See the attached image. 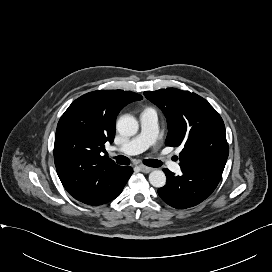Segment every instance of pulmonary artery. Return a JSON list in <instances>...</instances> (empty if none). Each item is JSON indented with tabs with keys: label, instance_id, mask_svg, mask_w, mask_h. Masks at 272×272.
I'll return each mask as SVG.
<instances>
[{
	"label": "pulmonary artery",
	"instance_id": "1",
	"mask_svg": "<svg viewBox=\"0 0 272 272\" xmlns=\"http://www.w3.org/2000/svg\"><path fill=\"white\" fill-rule=\"evenodd\" d=\"M139 120V134L115 148L116 151L125 155H135L154 145L158 135L157 112L152 108H147L141 112ZM159 161L167 165L173 172L179 173L181 170L180 165L176 162L169 161L163 157H160Z\"/></svg>",
	"mask_w": 272,
	"mask_h": 272
}]
</instances>
